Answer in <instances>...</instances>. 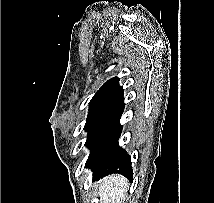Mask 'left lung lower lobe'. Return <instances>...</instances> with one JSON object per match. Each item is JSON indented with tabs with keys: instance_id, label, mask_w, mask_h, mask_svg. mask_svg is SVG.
<instances>
[{
	"instance_id": "obj_1",
	"label": "left lung lower lobe",
	"mask_w": 214,
	"mask_h": 203,
	"mask_svg": "<svg viewBox=\"0 0 214 203\" xmlns=\"http://www.w3.org/2000/svg\"><path fill=\"white\" fill-rule=\"evenodd\" d=\"M123 92L96 118L88 128L85 145L91 148L85 167L93 171V179L118 173L133 179L131 157L118 144L124 110Z\"/></svg>"
}]
</instances>
